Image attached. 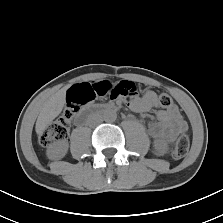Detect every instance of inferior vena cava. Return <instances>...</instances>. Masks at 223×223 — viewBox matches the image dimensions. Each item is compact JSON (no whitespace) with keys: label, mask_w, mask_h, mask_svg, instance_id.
Returning a JSON list of instances; mask_svg holds the SVG:
<instances>
[{"label":"inferior vena cava","mask_w":223,"mask_h":223,"mask_svg":"<svg viewBox=\"0 0 223 223\" xmlns=\"http://www.w3.org/2000/svg\"><path fill=\"white\" fill-rule=\"evenodd\" d=\"M103 121L102 116L94 114L89 120V126H96Z\"/></svg>","instance_id":"602c4592"}]
</instances>
